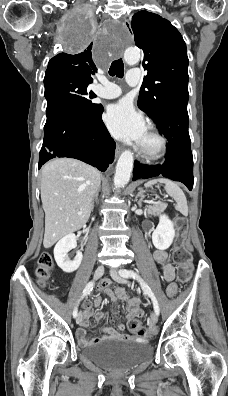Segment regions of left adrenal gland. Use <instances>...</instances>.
<instances>
[{
	"label": "left adrenal gland",
	"instance_id": "a2214340",
	"mask_svg": "<svg viewBox=\"0 0 228 396\" xmlns=\"http://www.w3.org/2000/svg\"><path fill=\"white\" fill-rule=\"evenodd\" d=\"M139 190L140 191H139V193L136 196V201H137V198H140L139 201H138V204H141V202H142V200L144 199L145 196H144V190L142 188H140Z\"/></svg>",
	"mask_w": 228,
	"mask_h": 396
}]
</instances>
